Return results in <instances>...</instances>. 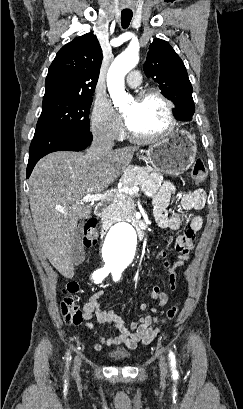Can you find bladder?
<instances>
[{
	"label": "bladder",
	"instance_id": "1",
	"mask_svg": "<svg viewBox=\"0 0 243 409\" xmlns=\"http://www.w3.org/2000/svg\"><path fill=\"white\" fill-rule=\"evenodd\" d=\"M109 357L113 360H125L130 357V353L125 348L117 347L109 352Z\"/></svg>",
	"mask_w": 243,
	"mask_h": 409
}]
</instances>
